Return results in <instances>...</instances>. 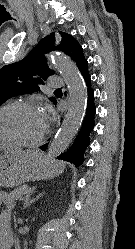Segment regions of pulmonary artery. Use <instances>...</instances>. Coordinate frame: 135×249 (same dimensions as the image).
I'll return each instance as SVG.
<instances>
[{"label": "pulmonary artery", "instance_id": "obj_1", "mask_svg": "<svg viewBox=\"0 0 135 249\" xmlns=\"http://www.w3.org/2000/svg\"><path fill=\"white\" fill-rule=\"evenodd\" d=\"M63 85V81L61 77L54 76L49 80V86L53 88H59Z\"/></svg>", "mask_w": 135, "mask_h": 249}]
</instances>
